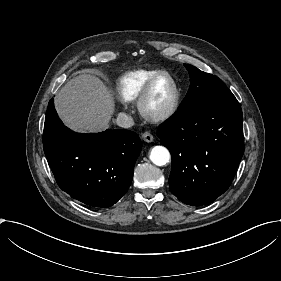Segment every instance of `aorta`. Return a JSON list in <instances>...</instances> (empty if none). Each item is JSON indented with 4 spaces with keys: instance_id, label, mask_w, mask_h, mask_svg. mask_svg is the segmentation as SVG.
Wrapping results in <instances>:
<instances>
[{
    "instance_id": "762f6f07",
    "label": "aorta",
    "mask_w": 281,
    "mask_h": 281,
    "mask_svg": "<svg viewBox=\"0 0 281 281\" xmlns=\"http://www.w3.org/2000/svg\"><path fill=\"white\" fill-rule=\"evenodd\" d=\"M149 158L155 165L164 166L169 163L171 156L164 146H155L152 148Z\"/></svg>"
}]
</instances>
